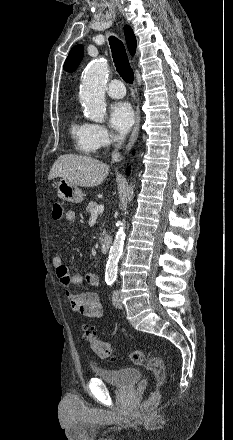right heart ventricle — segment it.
I'll return each mask as SVG.
<instances>
[{
  "label": "right heart ventricle",
  "instance_id": "e07e8e85",
  "mask_svg": "<svg viewBox=\"0 0 233 440\" xmlns=\"http://www.w3.org/2000/svg\"><path fill=\"white\" fill-rule=\"evenodd\" d=\"M69 131L78 151L85 154H93L95 152L90 139L89 123L81 121L77 116H73Z\"/></svg>",
  "mask_w": 233,
  "mask_h": 440
}]
</instances>
